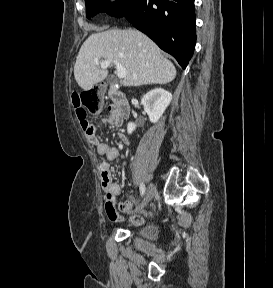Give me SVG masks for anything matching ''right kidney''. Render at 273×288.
<instances>
[{"instance_id": "right-kidney-1", "label": "right kidney", "mask_w": 273, "mask_h": 288, "mask_svg": "<svg viewBox=\"0 0 273 288\" xmlns=\"http://www.w3.org/2000/svg\"><path fill=\"white\" fill-rule=\"evenodd\" d=\"M172 100V94L163 88H155L149 91L141 99L144 111L148 114L152 123H157ZM136 129V124L130 122L127 132L131 134Z\"/></svg>"}]
</instances>
